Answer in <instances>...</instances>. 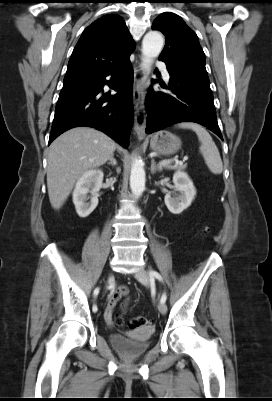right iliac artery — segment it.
Returning a JSON list of instances; mask_svg holds the SVG:
<instances>
[{"label":"right iliac artery","instance_id":"82829eb1","mask_svg":"<svg viewBox=\"0 0 272 401\" xmlns=\"http://www.w3.org/2000/svg\"><path fill=\"white\" fill-rule=\"evenodd\" d=\"M98 293H99V288H96L95 290H94V296H97L98 295ZM93 312H96L98 309H97V306L96 305H93Z\"/></svg>","mask_w":272,"mask_h":401}]
</instances>
